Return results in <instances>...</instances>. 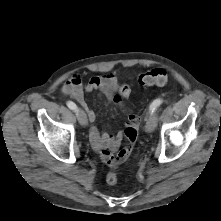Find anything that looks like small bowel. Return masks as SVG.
I'll return each mask as SVG.
<instances>
[{"instance_id":"small-bowel-1","label":"small bowel","mask_w":221,"mask_h":221,"mask_svg":"<svg viewBox=\"0 0 221 221\" xmlns=\"http://www.w3.org/2000/svg\"><path fill=\"white\" fill-rule=\"evenodd\" d=\"M122 86L119 85L118 79L114 74H107L101 77H93L85 86L87 92L99 90L101 95L108 102H112ZM63 93L73 97L86 111L91 123L89 130V140L94 150L100 153L105 163L113 156L121 145L124 132L119 131L116 134L101 132L94 124L96 120L95 111L88 105L85 100L84 90L81 77L78 74L72 75L62 87ZM139 122L135 114H129L127 127Z\"/></svg>"}]
</instances>
